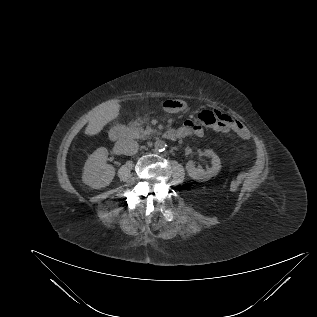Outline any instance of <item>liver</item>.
Masks as SVG:
<instances>
[{
	"label": "liver",
	"instance_id": "6515ba94",
	"mask_svg": "<svg viewBox=\"0 0 317 317\" xmlns=\"http://www.w3.org/2000/svg\"><path fill=\"white\" fill-rule=\"evenodd\" d=\"M119 109L120 105L115 99L106 101L93 108L87 114L88 125L85 129V134L92 136L99 133L119 115Z\"/></svg>",
	"mask_w": 317,
	"mask_h": 317
}]
</instances>
